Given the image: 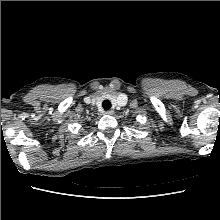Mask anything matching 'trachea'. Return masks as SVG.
Returning <instances> with one entry per match:
<instances>
[{"instance_id": "obj_1", "label": "trachea", "mask_w": 220, "mask_h": 220, "mask_svg": "<svg viewBox=\"0 0 220 220\" xmlns=\"http://www.w3.org/2000/svg\"><path fill=\"white\" fill-rule=\"evenodd\" d=\"M102 107H103L105 110H109V109L111 108V102H110L109 100L103 101Z\"/></svg>"}]
</instances>
